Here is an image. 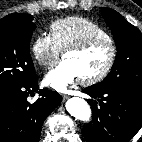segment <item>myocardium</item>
<instances>
[{
	"label": "myocardium",
	"mask_w": 142,
	"mask_h": 142,
	"mask_svg": "<svg viewBox=\"0 0 142 142\" xmlns=\"http://www.w3.org/2000/svg\"><path fill=\"white\" fill-rule=\"evenodd\" d=\"M100 42H106L108 43L109 47H110V56L109 59L105 65V67L99 71L98 73L91 75V76H86V77H82L81 81L84 84H95L98 83L100 81H102L104 78H106L109 73L111 72L115 61H116V57H117V47L115 42L113 41L112 38L110 37H103V36H91L79 43H76L72 46L67 47L64 51H63V57L66 56V54L71 53V52H83L88 50L89 48H91L92 46L96 45L97 43Z\"/></svg>",
	"instance_id": "1"
}]
</instances>
